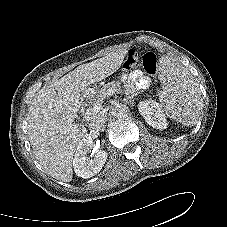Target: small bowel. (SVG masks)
Here are the masks:
<instances>
[{
  "label": "small bowel",
  "mask_w": 227,
  "mask_h": 227,
  "mask_svg": "<svg viewBox=\"0 0 227 227\" xmlns=\"http://www.w3.org/2000/svg\"><path fill=\"white\" fill-rule=\"evenodd\" d=\"M123 82L126 90L132 92L136 89L147 88L150 84V79L144 76L140 71H134L123 76Z\"/></svg>",
  "instance_id": "small-bowel-1"
}]
</instances>
